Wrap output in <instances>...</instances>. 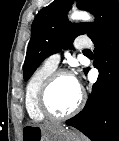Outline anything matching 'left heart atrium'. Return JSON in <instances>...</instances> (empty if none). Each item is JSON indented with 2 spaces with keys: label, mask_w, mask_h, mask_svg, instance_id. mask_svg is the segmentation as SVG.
<instances>
[{
  "label": "left heart atrium",
  "mask_w": 119,
  "mask_h": 141,
  "mask_svg": "<svg viewBox=\"0 0 119 141\" xmlns=\"http://www.w3.org/2000/svg\"><path fill=\"white\" fill-rule=\"evenodd\" d=\"M74 80H75L78 88L80 89V80L78 78H75V77H74Z\"/></svg>",
  "instance_id": "left-heart-atrium-1"
}]
</instances>
